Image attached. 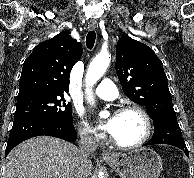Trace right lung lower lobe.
<instances>
[{"instance_id": "98d812e1", "label": "right lung lower lobe", "mask_w": 194, "mask_h": 178, "mask_svg": "<svg viewBox=\"0 0 194 178\" xmlns=\"http://www.w3.org/2000/svg\"><path fill=\"white\" fill-rule=\"evenodd\" d=\"M47 135L72 142L76 139L73 121H55L42 116H25L15 118L7 142L5 156L19 143L26 139Z\"/></svg>"}]
</instances>
